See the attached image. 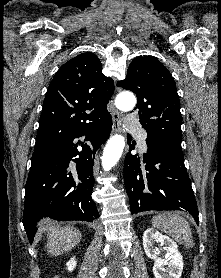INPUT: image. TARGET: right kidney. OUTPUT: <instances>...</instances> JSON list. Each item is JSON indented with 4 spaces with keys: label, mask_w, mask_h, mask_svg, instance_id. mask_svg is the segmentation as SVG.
<instances>
[{
    "label": "right kidney",
    "mask_w": 221,
    "mask_h": 278,
    "mask_svg": "<svg viewBox=\"0 0 221 278\" xmlns=\"http://www.w3.org/2000/svg\"><path fill=\"white\" fill-rule=\"evenodd\" d=\"M76 260H75V257L71 258L68 263H67V269L68 271H73V269L75 268L76 266Z\"/></svg>",
    "instance_id": "ca27d5eb"
}]
</instances>
